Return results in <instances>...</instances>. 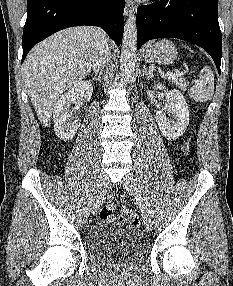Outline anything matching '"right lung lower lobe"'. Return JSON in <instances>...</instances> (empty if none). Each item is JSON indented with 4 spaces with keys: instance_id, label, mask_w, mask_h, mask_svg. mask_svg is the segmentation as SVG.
Masks as SVG:
<instances>
[{
    "instance_id": "98d812e1",
    "label": "right lung lower lobe",
    "mask_w": 233,
    "mask_h": 286,
    "mask_svg": "<svg viewBox=\"0 0 233 286\" xmlns=\"http://www.w3.org/2000/svg\"><path fill=\"white\" fill-rule=\"evenodd\" d=\"M124 7L125 0H27L22 62L35 44L72 26H99L119 45Z\"/></svg>"
}]
</instances>
